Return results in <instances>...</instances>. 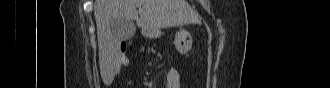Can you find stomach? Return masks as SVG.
I'll return each instance as SVG.
<instances>
[{"instance_id":"1","label":"stomach","mask_w":330,"mask_h":88,"mask_svg":"<svg viewBox=\"0 0 330 88\" xmlns=\"http://www.w3.org/2000/svg\"><path fill=\"white\" fill-rule=\"evenodd\" d=\"M157 36V30H153L150 33H148V37H156ZM174 44L177 48V50L181 54H186L192 47V39L191 35L184 29L180 30L174 40Z\"/></svg>"}]
</instances>
